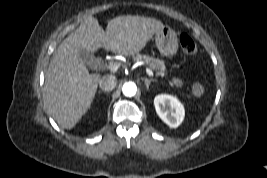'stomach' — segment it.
<instances>
[{
  "instance_id": "1",
  "label": "stomach",
  "mask_w": 267,
  "mask_h": 178,
  "mask_svg": "<svg viewBox=\"0 0 267 178\" xmlns=\"http://www.w3.org/2000/svg\"><path fill=\"white\" fill-rule=\"evenodd\" d=\"M155 43L159 52L165 57L174 56L179 47L177 34L168 26L155 33Z\"/></svg>"
}]
</instances>
